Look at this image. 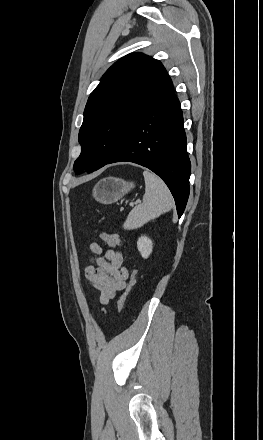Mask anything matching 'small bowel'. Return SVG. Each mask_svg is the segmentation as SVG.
I'll return each instance as SVG.
<instances>
[{"label":"small bowel","mask_w":263,"mask_h":440,"mask_svg":"<svg viewBox=\"0 0 263 440\" xmlns=\"http://www.w3.org/2000/svg\"><path fill=\"white\" fill-rule=\"evenodd\" d=\"M96 255L94 265L85 269L87 282L100 293V301L107 304L117 292L125 289L129 273L123 265V256L114 249H104L97 243L90 244Z\"/></svg>","instance_id":"c3829d8e"}]
</instances>
